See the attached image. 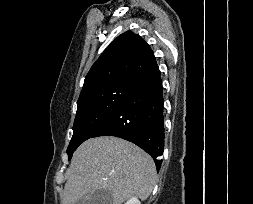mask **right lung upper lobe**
Masks as SVG:
<instances>
[{
    "instance_id": "cb5924a9",
    "label": "right lung upper lobe",
    "mask_w": 253,
    "mask_h": 204,
    "mask_svg": "<svg viewBox=\"0 0 253 204\" xmlns=\"http://www.w3.org/2000/svg\"><path fill=\"white\" fill-rule=\"evenodd\" d=\"M157 64L150 46L127 31L104 50L85 77L81 95L114 82H136Z\"/></svg>"
}]
</instances>
